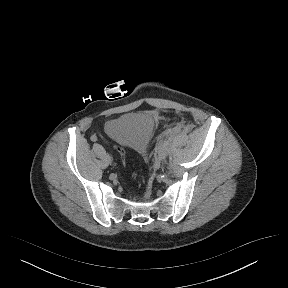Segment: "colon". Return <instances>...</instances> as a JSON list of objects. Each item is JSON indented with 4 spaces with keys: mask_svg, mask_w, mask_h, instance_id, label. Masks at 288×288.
I'll list each match as a JSON object with an SVG mask.
<instances>
[{
    "mask_svg": "<svg viewBox=\"0 0 288 288\" xmlns=\"http://www.w3.org/2000/svg\"><path fill=\"white\" fill-rule=\"evenodd\" d=\"M114 151H116L119 154V157L122 162L126 161V150L119 146H114Z\"/></svg>",
    "mask_w": 288,
    "mask_h": 288,
    "instance_id": "colon-1",
    "label": "colon"
}]
</instances>
